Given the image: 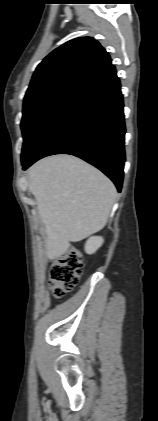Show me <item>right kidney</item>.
<instances>
[{"instance_id":"right-kidney-1","label":"right kidney","mask_w":158,"mask_h":421,"mask_svg":"<svg viewBox=\"0 0 158 421\" xmlns=\"http://www.w3.org/2000/svg\"><path fill=\"white\" fill-rule=\"evenodd\" d=\"M102 237H90L85 244V252L87 254H94L103 244Z\"/></svg>"}]
</instances>
